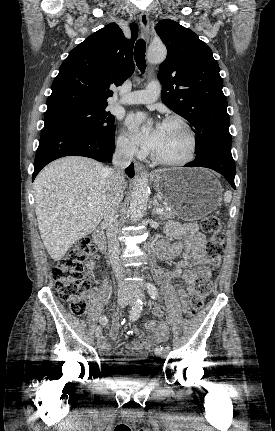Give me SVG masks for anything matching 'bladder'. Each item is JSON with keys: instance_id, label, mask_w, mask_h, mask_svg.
<instances>
[{"instance_id": "1", "label": "bladder", "mask_w": 275, "mask_h": 431, "mask_svg": "<svg viewBox=\"0 0 275 431\" xmlns=\"http://www.w3.org/2000/svg\"><path fill=\"white\" fill-rule=\"evenodd\" d=\"M107 375L119 383L146 382L152 374L149 370L136 363H121L114 360H105Z\"/></svg>"}]
</instances>
